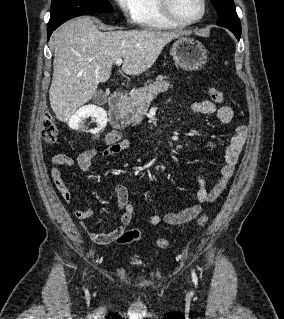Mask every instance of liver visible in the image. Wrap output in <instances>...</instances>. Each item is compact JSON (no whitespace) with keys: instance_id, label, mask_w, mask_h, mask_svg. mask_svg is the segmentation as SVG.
<instances>
[{"instance_id":"6515ba94","label":"liver","mask_w":284,"mask_h":319,"mask_svg":"<svg viewBox=\"0 0 284 319\" xmlns=\"http://www.w3.org/2000/svg\"><path fill=\"white\" fill-rule=\"evenodd\" d=\"M161 30L100 31L91 17H79L55 30L50 105L57 119L65 122L86 104L99 83L111 76L116 59L121 70L139 75L156 61L166 44L179 38Z\"/></svg>"}]
</instances>
